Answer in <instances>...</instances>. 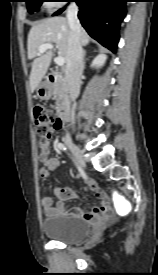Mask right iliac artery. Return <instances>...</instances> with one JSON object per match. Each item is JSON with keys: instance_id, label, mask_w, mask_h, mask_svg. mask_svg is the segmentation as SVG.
<instances>
[{"instance_id": "right-iliac-artery-1", "label": "right iliac artery", "mask_w": 158, "mask_h": 275, "mask_svg": "<svg viewBox=\"0 0 158 275\" xmlns=\"http://www.w3.org/2000/svg\"><path fill=\"white\" fill-rule=\"evenodd\" d=\"M58 148H60L61 150L67 151L66 146L64 144H62V143L58 144Z\"/></svg>"}]
</instances>
